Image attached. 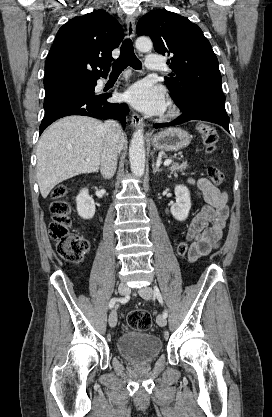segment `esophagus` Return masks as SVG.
Listing matches in <instances>:
<instances>
[{"mask_svg": "<svg viewBox=\"0 0 272 417\" xmlns=\"http://www.w3.org/2000/svg\"><path fill=\"white\" fill-rule=\"evenodd\" d=\"M126 32L128 38L132 39L135 36V18L132 15H128L126 18ZM131 124L134 128L143 126L142 118L137 114L133 113L131 117Z\"/></svg>", "mask_w": 272, "mask_h": 417, "instance_id": "obj_1", "label": "esophagus"}]
</instances>
